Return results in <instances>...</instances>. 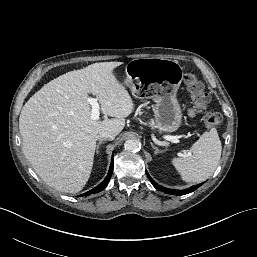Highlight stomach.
Returning a JSON list of instances; mask_svg holds the SVG:
<instances>
[{"label":"stomach","mask_w":257,"mask_h":257,"mask_svg":"<svg viewBox=\"0 0 257 257\" xmlns=\"http://www.w3.org/2000/svg\"><path fill=\"white\" fill-rule=\"evenodd\" d=\"M125 71V84L134 96L143 95L155 100V128L160 132L176 131L182 121V111L176 97L183 77L179 62L162 58H137L127 63Z\"/></svg>","instance_id":"stomach-1"}]
</instances>
